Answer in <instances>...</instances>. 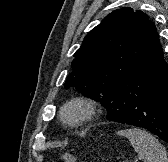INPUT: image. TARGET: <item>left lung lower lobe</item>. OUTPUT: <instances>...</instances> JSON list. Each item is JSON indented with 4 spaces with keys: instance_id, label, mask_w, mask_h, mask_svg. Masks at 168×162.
I'll use <instances>...</instances> for the list:
<instances>
[{
    "instance_id": "1",
    "label": "left lung lower lobe",
    "mask_w": 168,
    "mask_h": 162,
    "mask_svg": "<svg viewBox=\"0 0 168 162\" xmlns=\"http://www.w3.org/2000/svg\"><path fill=\"white\" fill-rule=\"evenodd\" d=\"M105 108L108 120L142 127L168 142V64L160 42L115 87Z\"/></svg>"
}]
</instances>
